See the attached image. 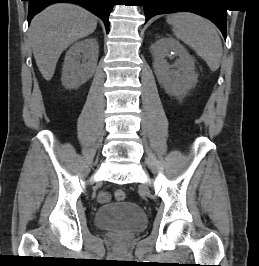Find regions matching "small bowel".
Wrapping results in <instances>:
<instances>
[{"mask_svg": "<svg viewBox=\"0 0 259 266\" xmlns=\"http://www.w3.org/2000/svg\"><path fill=\"white\" fill-rule=\"evenodd\" d=\"M98 200L102 203L104 202H108L110 200V195L109 193L107 192H101L99 195H98Z\"/></svg>", "mask_w": 259, "mask_h": 266, "instance_id": "1", "label": "small bowel"}]
</instances>
